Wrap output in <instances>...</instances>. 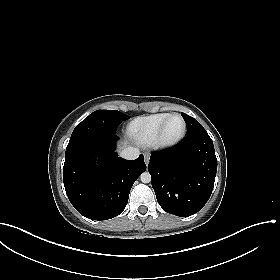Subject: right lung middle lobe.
<instances>
[{
    "label": "right lung middle lobe",
    "instance_id": "dd1d6c3e",
    "mask_svg": "<svg viewBox=\"0 0 280 280\" xmlns=\"http://www.w3.org/2000/svg\"><path fill=\"white\" fill-rule=\"evenodd\" d=\"M129 118L116 110H97L76 126L70 139L90 134H115L120 123Z\"/></svg>",
    "mask_w": 280,
    "mask_h": 280
}]
</instances>
